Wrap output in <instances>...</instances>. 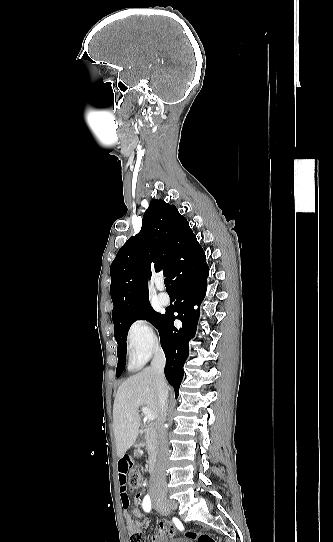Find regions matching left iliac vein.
Listing matches in <instances>:
<instances>
[{
	"label": "left iliac vein",
	"instance_id": "left-iliac-vein-1",
	"mask_svg": "<svg viewBox=\"0 0 333 542\" xmlns=\"http://www.w3.org/2000/svg\"><path fill=\"white\" fill-rule=\"evenodd\" d=\"M171 512L170 508L168 506H163L160 508V513L163 515H169Z\"/></svg>",
	"mask_w": 333,
	"mask_h": 542
}]
</instances>
